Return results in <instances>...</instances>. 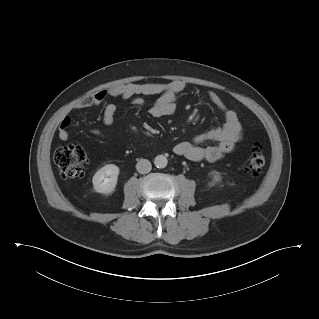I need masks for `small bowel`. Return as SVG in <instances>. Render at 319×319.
<instances>
[{"instance_id":"small-bowel-1","label":"small bowel","mask_w":319,"mask_h":319,"mask_svg":"<svg viewBox=\"0 0 319 319\" xmlns=\"http://www.w3.org/2000/svg\"><path fill=\"white\" fill-rule=\"evenodd\" d=\"M186 88V83L182 80H172L165 83H145V84H121L108 89H102L79 100L74 108L77 110L87 109L103 104L109 97H121L130 99L135 105H142L144 97L148 95H158L156 102L150 109V114L155 118H166L176 111L177 96ZM209 100L212 105L222 113L224 124L222 127L210 129L197 134L191 141L178 142L173 151L175 154L191 161L220 160L231 153L243 135L242 125L237 113L229 109L219 95L210 91ZM117 107L113 103L105 105L102 114V123L110 126L114 123ZM72 120L69 116L62 119L58 128V138L61 141L69 139V127ZM92 133L102 136L101 130L93 128ZM207 141H214L216 145L202 146Z\"/></svg>"}]
</instances>
